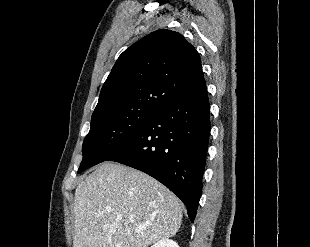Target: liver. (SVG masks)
I'll return each instance as SVG.
<instances>
[{
  "label": "liver",
  "instance_id": "obj_1",
  "mask_svg": "<svg viewBox=\"0 0 310 247\" xmlns=\"http://www.w3.org/2000/svg\"><path fill=\"white\" fill-rule=\"evenodd\" d=\"M183 207L151 176L104 162L75 190L73 247H148L175 236Z\"/></svg>",
  "mask_w": 310,
  "mask_h": 247
}]
</instances>
